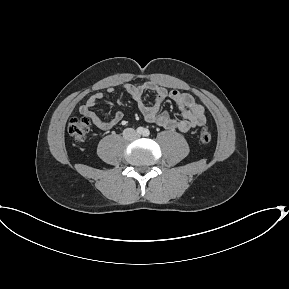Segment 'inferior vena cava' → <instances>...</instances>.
<instances>
[{
	"mask_svg": "<svg viewBox=\"0 0 289 289\" xmlns=\"http://www.w3.org/2000/svg\"><path fill=\"white\" fill-rule=\"evenodd\" d=\"M138 136L137 132L133 129V128H126L124 131H123V137L126 139V140H129V141H132L134 139H136Z\"/></svg>",
	"mask_w": 289,
	"mask_h": 289,
	"instance_id": "1",
	"label": "inferior vena cava"
}]
</instances>
